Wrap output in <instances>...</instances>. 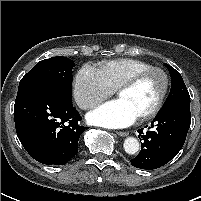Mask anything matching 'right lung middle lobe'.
Wrapping results in <instances>:
<instances>
[{
    "mask_svg": "<svg viewBox=\"0 0 201 201\" xmlns=\"http://www.w3.org/2000/svg\"><path fill=\"white\" fill-rule=\"evenodd\" d=\"M75 63L66 57L56 56L37 63L20 81L19 86L40 81L55 85L68 97H72V68Z\"/></svg>",
    "mask_w": 201,
    "mask_h": 201,
    "instance_id": "obj_1",
    "label": "right lung middle lobe"
}]
</instances>
